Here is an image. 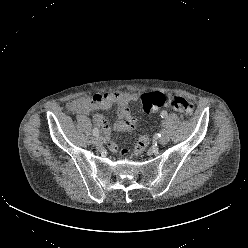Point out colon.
<instances>
[{
	"mask_svg": "<svg viewBox=\"0 0 248 248\" xmlns=\"http://www.w3.org/2000/svg\"><path fill=\"white\" fill-rule=\"evenodd\" d=\"M141 103L145 114H150L154 109L161 106L172 108L185 118H191L194 111L193 105L187 99L160 93L144 94L141 98ZM148 144L149 136L146 133L140 135L135 144L134 155H141Z\"/></svg>",
	"mask_w": 248,
	"mask_h": 248,
	"instance_id": "5ec220e1",
	"label": "colon"
}]
</instances>
